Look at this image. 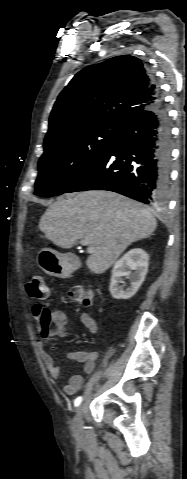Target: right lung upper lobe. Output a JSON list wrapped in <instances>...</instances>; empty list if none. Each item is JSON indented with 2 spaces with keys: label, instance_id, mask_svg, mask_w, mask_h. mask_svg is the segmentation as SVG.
Listing matches in <instances>:
<instances>
[{
  "label": "right lung upper lobe",
  "instance_id": "right-lung-upper-lobe-1",
  "mask_svg": "<svg viewBox=\"0 0 187 479\" xmlns=\"http://www.w3.org/2000/svg\"><path fill=\"white\" fill-rule=\"evenodd\" d=\"M160 98L144 64L134 56H117L84 68L55 102L44 145L78 130L121 129Z\"/></svg>",
  "mask_w": 187,
  "mask_h": 479
}]
</instances>
